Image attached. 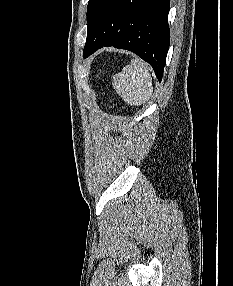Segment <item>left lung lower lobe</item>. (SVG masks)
<instances>
[{"label": "left lung lower lobe", "instance_id": "1", "mask_svg": "<svg viewBox=\"0 0 233 286\" xmlns=\"http://www.w3.org/2000/svg\"><path fill=\"white\" fill-rule=\"evenodd\" d=\"M170 0H94L87 16L83 58L103 46L134 52L163 76L170 45Z\"/></svg>", "mask_w": 233, "mask_h": 286}]
</instances>
